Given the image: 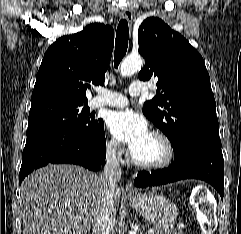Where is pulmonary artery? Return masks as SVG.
Segmentation results:
<instances>
[{"instance_id": "1", "label": "pulmonary artery", "mask_w": 241, "mask_h": 234, "mask_svg": "<svg viewBox=\"0 0 241 234\" xmlns=\"http://www.w3.org/2000/svg\"><path fill=\"white\" fill-rule=\"evenodd\" d=\"M145 92V86L140 82H134L129 87V94L132 97L139 96ZM128 104V98L118 92L101 90L100 94L91 101L92 108L104 106L123 107Z\"/></svg>"}]
</instances>
